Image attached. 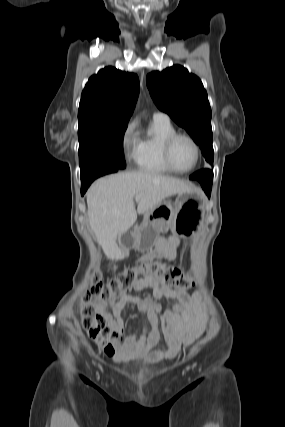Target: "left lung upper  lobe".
I'll return each instance as SVG.
<instances>
[{"mask_svg":"<svg viewBox=\"0 0 285 427\" xmlns=\"http://www.w3.org/2000/svg\"><path fill=\"white\" fill-rule=\"evenodd\" d=\"M147 87L157 107L186 129L213 163L211 108L201 80L180 65L146 77Z\"/></svg>","mask_w":285,"mask_h":427,"instance_id":"obj_1","label":"left lung upper lobe"}]
</instances>
